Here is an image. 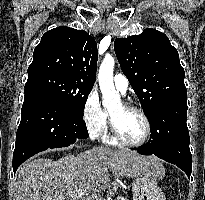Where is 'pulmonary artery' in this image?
<instances>
[{
  "label": "pulmonary artery",
  "mask_w": 205,
  "mask_h": 200,
  "mask_svg": "<svg viewBox=\"0 0 205 200\" xmlns=\"http://www.w3.org/2000/svg\"><path fill=\"white\" fill-rule=\"evenodd\" d=\"M113 84L116 87V89L120 91L122 94L126 93L129 86L127 78L122 74H116L114 76Z\"/></svg>",
  "instance_id": "pulmonary-artery-1"
}]
</instances>
